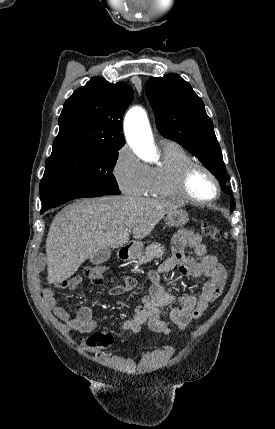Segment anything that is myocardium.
<instances>
[{"label":"myocardium","instance_id":"f54148a6","mask_svg":"<svg viewBox=\"0 0 275 429\" xmlns=\"http://www.w3.org/2000/svg\"><path fill=\"white\" fill-rule=\"evenodd\" d=\"M197 170L204 171L215 183L216 194L214 197L206 200H200L194 197L190 191L189 183L193 173ZM177 190L180 196L186 201L196 205H208L216 202L221 195V183L216 174L206 165L200 162H189L180 170L177 178Z\"/></svg>","mask_w":275,"mask_h":429}]
</instances>
